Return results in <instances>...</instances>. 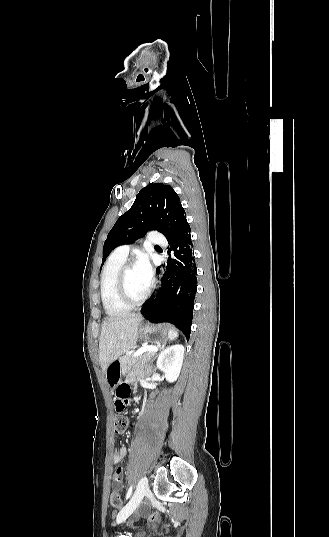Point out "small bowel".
Listing matches in <instances>:
<instances>
[{
    "mask_svg": "<svg viewBox=\"0 0 329 537\" xmlns=\"http://www.w3.org/2000/svg\"><path fill=\"white\" fill-rule=\"evenodd\" d=\"M118 369V366H117ZM116 393L114 395V408L118 412H125L129 408L130 396H131V385L129 381H118L116 385ZM127 450L125 447L118 448L113 454V462L119 464L123 458L126 456ZM113 484L117 489L123 487V472L120 467H118L113 474Z\"/></svg>",
    "mask_w": 329,
    "mask_h": 537,
    "instance_id": "c3829d8e",
    "label": "small bowel"
}]
</instances>
